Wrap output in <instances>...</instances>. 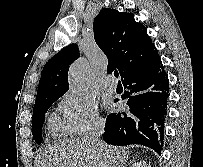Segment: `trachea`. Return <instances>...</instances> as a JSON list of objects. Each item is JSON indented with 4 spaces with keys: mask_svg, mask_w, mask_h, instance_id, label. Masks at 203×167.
Segmentation results:
<instances>
[{
    "mask_svg": "<svg viewBox=\"0 0 203 167\" xmlns=\"http://www.w3.org/2000/svg\"><path fill=\"white\" fill-rule=\"evenodd\" d=\"M114 76H115L116 78L119 77V73H118V71H114Z\"/></svg>",
    "mask_w": 203,
    "mask_h": 167,
    "instance_id": "1",
    "label": "trachea"
}]
</instances>
